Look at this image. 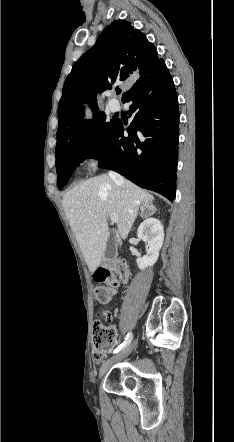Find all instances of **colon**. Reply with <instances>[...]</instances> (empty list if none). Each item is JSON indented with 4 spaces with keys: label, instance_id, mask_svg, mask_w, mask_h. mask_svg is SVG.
<instances>
[{
    "label": "colon",
    "instance_id": "5ec220e1",
    "mask_svg": "<svg viewBox=\"0 0 234 442\" xmlns=\"http://www.w3.org/2000/svg\"><path fill=\"white\" fill-rule=\"evenodd\" d=\"M130 269L123 260L114 261L110 268L100 267L94 273L96 281L103 283L95 288V299L101 304L111 303L118 291L119 282H127ZM107 313H99L97 319H103ZM96 319V320H97ZM115 338V329L111 326L97 328L94 323L93 356L96 362H101Z\"/></svg>",
    "mask_w": 234,
    "mask_h": 442
}]
</instances>
